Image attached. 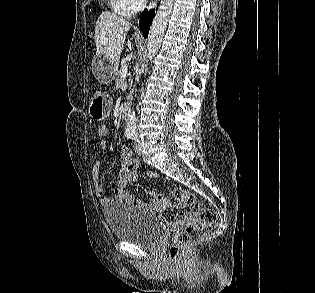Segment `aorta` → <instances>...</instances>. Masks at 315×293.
<instances>
[{
	"label": "aorta",
	"mask_w": 315,
	"mask_h": 293,
	"mask_svg": "<svg viewBox=\"0 0 315 293\" xmlns=\"http://www.w3.org/2000/svg\"><path fill=\"white\" fill-rule=\"evenodd\" d=\"M173 4L174 0H161L160 6L149 30L147 40V58L149 60H152L160 48L168 19L172 13ZM136 121L135 111L133 110L129 115L126 130L135 131Z\"/></svg>",
	"instance_id": "aorta-1"
}]
</instances>
